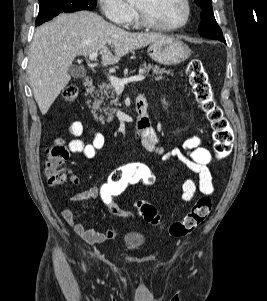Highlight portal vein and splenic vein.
Masks as SVG:
<instances>
[{"instance_id":"portal-vein-and-splenic-vein-1","label":"portal vein and splenic vein","mask_w":267,"mask_h":301,"mask_svg":"<svg viewBox=\"0 0 267 301\" xmlns=\"http://www.w3.org/2000/svg\"><path fill=\"white\" fill-rule=\"evenodd\" d=\"M97 55H98L97 52H92L89 55V59L91 61H95L97 58ZM144 79H145V76H143L142 74L134 75V76L123 78V79H119L113 75H109L110 83L113 85V87L115 89H123L125 84H127V83L138 82V81H142Z\"/></svg>"}]
</instances>
